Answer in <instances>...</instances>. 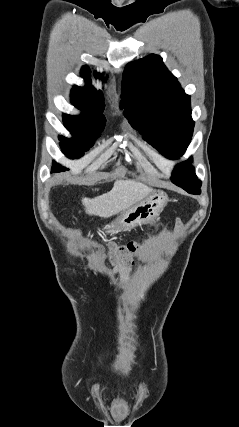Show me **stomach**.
Here are the masks:
<instances>
[{
    "label": "stomach",
    "mask_w": 239,
    "mask_h": 427,
    "mask_svg": "<svg viewBox=\"0 0 239 427\" xmlns=\"http://www.w3.org/2000/svg\"><path fill=\"white\" fill-rule=\"evenodd\" d=\"M168 202L165 192L156 190L144 200L127 209L117 220L107 226L111 232L131 230L137 225L153 221Z\"/></svg>",
    "instance_id": "1"
}]
</instances>
